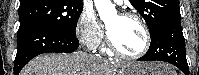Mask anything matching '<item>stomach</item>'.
<instances>
[{
    "instance_id": "stomach-1",
    "label": "stomach",
    "mask_w": 199,
    "mask_h": 75,
    "mask_svg": "<svg viewBox=\"0 0 199 75\" xmlns=\"http://www.w3.org/2000/svg\"><path fill=\"white\" fill-rule=\"evenodd\" d=\"M169 66L157 62L128 64L119 75H171Z\"/></svg>"
}]
</instances>
